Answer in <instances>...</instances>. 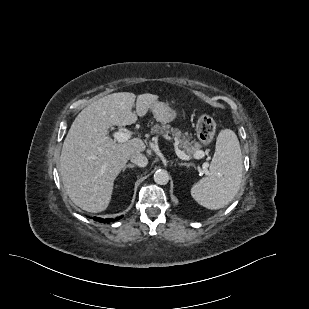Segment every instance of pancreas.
Listing matches in <instances>:
<instances>
[{"label":"pancreas","instance_id":"pancreas-1","mask_svg":"<svg viewBox=\"0 0 309 309\" xmlns=\"http://www.w3.org/2000/svg\"><path fill=\"white\" fill-rule=\"evenodd\" d=\"M152 133H169L177 140L179 147L189 156H194L197 151H200L201 145L195 140H190L192 137L188 133L183 134L180 129L172 128L170 125H154L151 129Z\"/></svg>","mask_w":309,"mask_h":309}]
</instances>
